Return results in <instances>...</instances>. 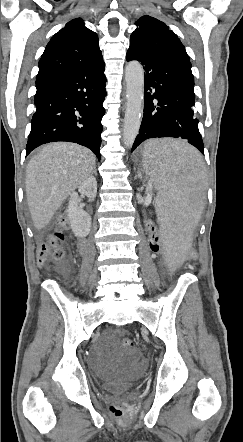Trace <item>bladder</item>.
Here are the masks:
<instances>
[{"label": "bladder", "mask_w": 243, "mask_h": 442, "mask_svg": "<svg viewBox=\"0 0 243 442\" xmlns=\"http://www.w3.org/2000/svg\"><path fill=\"white\" fill-rule=\"evenodd\" d=\"M144 369L143 362L136 354L118 355L117 369L104 380L102 387L109 392H124L137 382Z\"/></svg>", "instance_id": "obj_1"}]
</instances>
